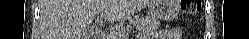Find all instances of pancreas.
<instances>
[{
    "label": "pancreas",
    "mask_w": 249,
    "mask_h": 39,
    "mask_svg": "<svg viewBox=\"0 0 249 39\" xmlns=\"http://www.w3.org/2000/svg\"><path fill=\"white\" fill-rule=\"evenodd\" d=\"M139 32L143 38H147L156 32L160 26V22L157 18L154 17H142L135 21ZM117 37H114L116 39Z\"/></svg>",
    "instance_id": "obj_1"
}]
</instances>
